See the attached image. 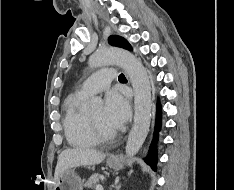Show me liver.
Listing matches in <instances>:
<instances>
[{"instance_id": "1", "label": "liver", "mask_w": 234, "mask_h": 190, "mask_svg": "<svg viewBox=\"0 0 234 190\" xmlns=\"http://www.w3.org/2000/svg\"><path fill=\"white\" fill-rule=\"evenodd\" d=\"M105 157L106 154L94 149H66L58 157L54 174L55 180L68 169L85 165H96L101 163Z\"/></svg>"}]
</instances>
